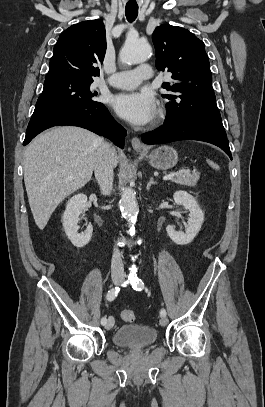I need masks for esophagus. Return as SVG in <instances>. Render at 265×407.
Instances as JSON below:
<instances>
[{"label": "esophagus", "mask_w": 265, "mask_h": 407, "mask_svg": "<svg viewBox=\"0 0 265 407\" xmlns=\"http://www.w3.org/2000/svg\"><path fill=\"white\" fill-rule=\"evenodd\" d=\"M131 144H132L133 149L136 151H140V150L144 149V146L138 137L132 138Z\"/></svg>", "instance_id": "obj_1"}]
</instances>
